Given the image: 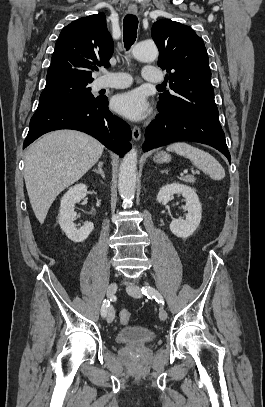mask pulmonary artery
<instances>
[{
    "label": "pulmonary artery",
    "instance_id": "obj_1",
    "mask_svg": "<svg viewBox=\"0 0 265 407\" xmlns=\"http://www.w3.org/2000/svg\"><path fill=\"white\" fill-rule=\"evenodd\" d=\"M111 76L110 79L106 77H101L96 81V88L97 89H105V88H125L131 84V78L128 74L123 72H116V73H107ZM142 76L144 80L153 82L156 84H160L164 80L163 73L154 66L147 65L144 67Z\"/></svg>",
    "mask_w": 265,
    "mask_h": 407
}]
</instances>
